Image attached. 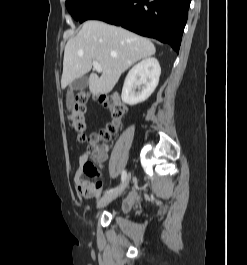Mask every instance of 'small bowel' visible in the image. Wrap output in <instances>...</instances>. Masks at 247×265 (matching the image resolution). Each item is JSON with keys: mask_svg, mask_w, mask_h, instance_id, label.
Instances as JSON below:
<instances>
[{"mask_svg": "<svg viewBox=\"0 0 247 265\" xmlns=\"http://www.w3.org/2000/svg\"><path fill=\"white\" fill-rule=\"evenodd\" d=\"M106 150L104 149V153ZM98 166L103 168L102 159H98ZM88 162V152L83 153L79 158V168L77 169L73 181L81 196L87 199L98 198L101 195L103 182L100 179L89 181L86 176H89L84 171V166ZM138 195L135 190L131 191L122 203V210H130L137 202Z\"/></svg>", "mask_w": 247, "mask_h": 265, "instance_id": "c3829d8e", "label": "small bowel"}]
</instances>
